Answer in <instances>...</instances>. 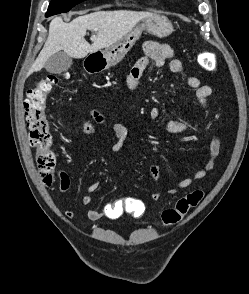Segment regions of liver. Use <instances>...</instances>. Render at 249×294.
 Masks as SVG:
<instances>
[{
	"mask_svg": "<svg viewBox=\"0 0 249 294\" xmlns=\"http://www.w3.org/2000/svg\"><path fill=\"white\" fill-rule=\"evenodd\" d=\"M80 14L70 23H65L61 17L51 21L47 40L29 73L40 71L48 58L61 50L70 57L81 59L88 53L107 48L132 31L139 21L153 15L149 12L128 10ZM87 30L95 33L90 37L91 45L85 39Z\"/></svg>",
	"mask_w": 249,
	"mask_h": 294,
	"instance_id": "6515ba94",
	"label": "liver"
}]
</instances>
